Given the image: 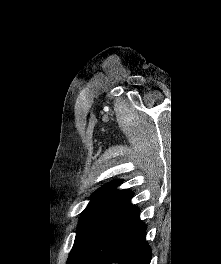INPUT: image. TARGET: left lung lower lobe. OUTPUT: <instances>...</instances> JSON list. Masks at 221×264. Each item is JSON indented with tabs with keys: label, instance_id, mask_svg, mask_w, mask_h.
<instances>
[{
	"label": "left lung lower lobe",
	"instance_id": "left-lung-lower-lobe-1",
	"mask_svg": "<svg viewBox=\"0 0 221 264\" xmlns=\"http://www.w3.org/2000/svg\"><path fill=\"white\" fill-rule=\"evenodd\" d=\"M132 194L111 210L72 250L66 264H150L146 225Z\"/></svg>",
	"mask_w": 221,
	"mask_h": 264
}]
</instances>
